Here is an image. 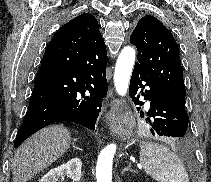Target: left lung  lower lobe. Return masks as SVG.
I'll return each instance as SVG.
<instances>
[{"label":"left lung lower lobe","instance_id":"obj_1","mask_svg":"<svg viewBox=\"0 0 211 182\" xmlns=\"http://www.w3.org/2000/svg\"><path fill=\"white\" fill-rule=\"evenodd\" d=\"M129 95L136 105L144 104L139 100L141 96L151 101L147 121L153 135L178 138L179 143L185 142L189 121L185 107L158 88L137 66H134L132 73Z\"/></svg>","mask_w":211,"mask_h":182}]
</instances>
